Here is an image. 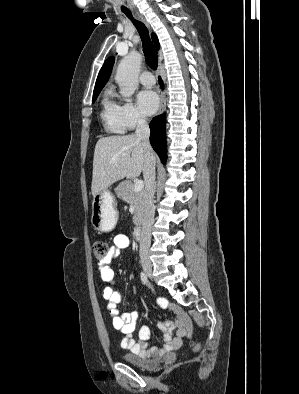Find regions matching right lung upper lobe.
Masks as SVG:
<instances>
[{
	"instance_id": "cb5924a9",
	"label": "right lung upper lobe",
	"mask_w": 299,
	"mask_h": 394,
	"mask_svg": "<svg viewBox=\"0 0 299 394\" xmlns=\"http://www.w3.org/2000/svg\"><path fill=\"white\" fill-rule=\"evenodd\" d=\"M152 40L158 50L160 47V44H159L156 34H154V33H152ZM113 64H114V57L108 58L105 61V63L103 64V66L98 74L97 80H96L93 95L99 94L100 91L102 90V88L105 86L106 82L108 81V79L110 77Z\"/></svg>"
}]
</instances>
